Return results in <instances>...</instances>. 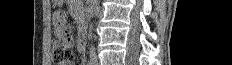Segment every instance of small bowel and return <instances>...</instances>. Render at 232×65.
<instances>
[{"instance_id": "small-bowel-1", "label": "small bowel", "mask_w": 232, "mask_h": 65, "mask_svg": "<svg viewBox=\"0 0 232 65\" xmlns=\"http://www.w3.org/2000/svg\"><path fill=\"white\" fill-rule=\"evenodd\" d=\"M55 21H57V26L55 27L57 37H70V39H73L74 33L69 32L70 26L68 25V20H66V16L64 12H55ZM62 65H72V63L67 62Z\"/></svg>"}]
</instances>
